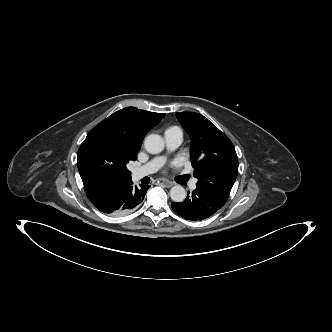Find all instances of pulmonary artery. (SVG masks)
<instances>
[{"label": "pulmonary artery", "mask_w": 332, "mask_h": 332, "mask_svg": "<svg viewBox=\"0 0 332 332\" xmlns=\"http://www.w3.org/2000/svg\"><path fill=\"white\" fill-rule=\"evenodd\" d=\"M164 137L166 145L170 150L176 149L182 143V132L180 130L166 132ZM162 163L163 159L161 157L154 158L147 164L135 169L132 174L133 179L138 180L151 173H154L161 167ZM190 188L192 190L196 188L195 180L191 182Z\"/></svg>", "instance_id": "obj_1"}]
</instances>
